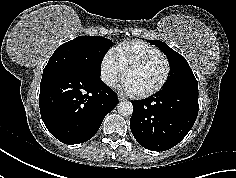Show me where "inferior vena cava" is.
I'll return each instance as SVG.
<instances>
[{"label":"inferior vena cava","instance_id":"1","mask_svg":"<svg viewBox=\"0 0 236 178\" xmlns=\"http://www.w3.org/2000/svg\"><path fill=\"white\" fill-rule=\"evenodd\" d=\"M104 82L109 85V86H113L114 85V80L113 79H109V78H104Z\"/></svg>","mask_w":236,"mask_h":178}]
</instances>
